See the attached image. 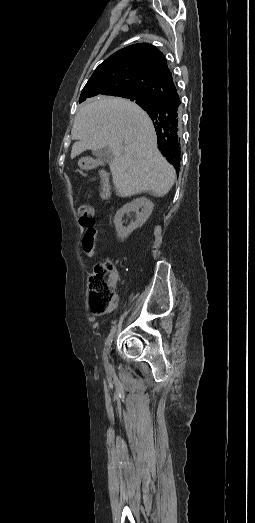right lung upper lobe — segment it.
I'll return each mask as SVG.
<instances>
[{
    "label": "right lung upper lobe",
    "mask_w": 255,
    "mask_h": 523,
    "mask_svg": "<svg viewBox=\"0 0 255 523\" xmlns=\"http://www.w3.org/2000/svg\"><path fill=\"white\" fill-rule=\"evenodd\" d=\"M126 90L146 92L153 99L150 108H144L153 121L158 148L176 170L180 166V109L164 114L159 119L151 111L165 102L179 100V95L165 56L155 46L139 43L127 46L102 62L84 86L80 103L90 99L116 96Z\"/></svg>",
    "instance_id": "1"
}]
</instances>
